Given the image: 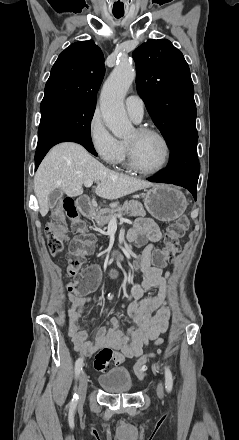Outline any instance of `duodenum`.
I'll return each instance as SVG.
<instances>
[{"instance_id": "duodenum-1", "label": "duodenum", "mask_w": 239, "mask_h": 440, "mask_svg": "<svg viewBox=\"0 0 239 440\" xmlns=\"http://www.w3.org/2000/svg\"><path fill=\"white\" fill-rule=\"evenodd\" d=\"M77 209L82 215H90L92 212V205L89 197L81 196L76 201ZM114 258L122 259V255L119 252H114L112 255Z\"/></svg>"}]
</instances>
